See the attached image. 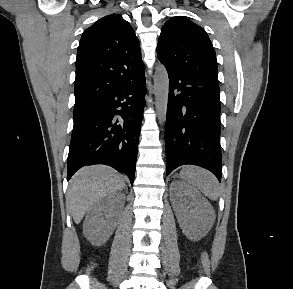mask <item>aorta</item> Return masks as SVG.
Returning <instances> with one entry per match:
<instances>
[{"label": "aorta", "mask_w": 293, "mask_h": 289, "mask_svg": "<svg viewBox=\"0 0 293 289\" xmlns=\"http://www.w3.org/2000/svg\"><path fill=\"white\" fill-rule=\"evenodd\" d=\"M154 94L158 120L161 124H163L166 121L169 94V78L167 70L164 66H158L155 70Z\"/></svg>", "instance_id": "obj_1"}]
</instances>
